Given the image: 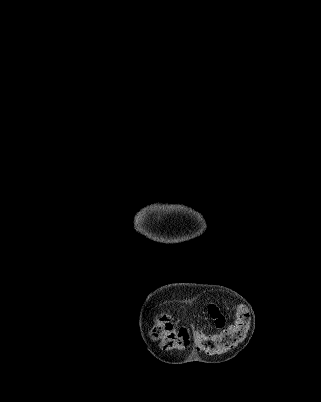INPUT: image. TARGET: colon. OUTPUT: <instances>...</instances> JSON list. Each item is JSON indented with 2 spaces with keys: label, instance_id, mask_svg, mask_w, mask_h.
<instances>
[{
  "label": "colon",
  "instance_id": "obj_1",
  "mask_svg": "<svg viewBox=\"0 0 321 402\" xmlns=\"http://www.w3.org/2000/svg\"><path fill=\"white\" fill-rule=\"evenodd\" d=\"M250 325L248 311L241 307L232 324L215 334L197 332L193 337L186 328L174 326L167 316L161 317L152 329V337L164 349L183 350L193 343L207 353H217L234 346L246 333Z\"/></svg>",
  "mask_w": 321,
  "mask_h": 402
}]
</instances>
